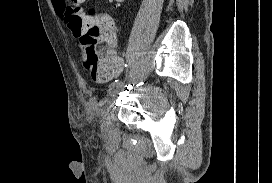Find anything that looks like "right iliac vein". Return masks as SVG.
<instances>
[{
  "label": "right iliac vein",
  "instance_id": "obj_1",
  "mask_svg": "<svg viewBox=\"0 0 272 183\" xmlns=\"http://www.w3.org/2000/svg\"><path fill=\"white\" fill-rule=\"evenodd\" d=\"M124 84H122L121 86H119L118 88L109 91L108 97L106 98L105 101H108L110 98L114 97L118 91L123 90Z\"/></svg>",
  "mask_w": 272,
  "mask_h": 183
}]
</instances>
